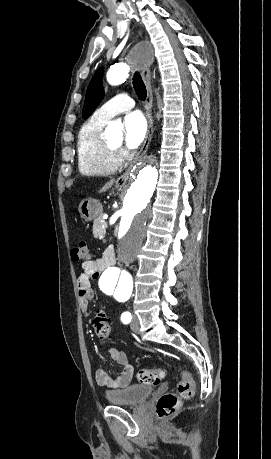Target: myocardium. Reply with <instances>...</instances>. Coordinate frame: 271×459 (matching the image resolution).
Segmentation results:
<instances>
[{"label":"myocardium","mask_w":271,"mask_h":459,"mask_svg":"<svg viewBox=\"0 0 271 459\" xmlns=\"http://www.w3.org/2000/svg\"><path fill=\"white\" fill-rule=\"evenodd\" d=\"M104 144H105L106 148L114 155H117L119 153V151L122 149V145L115 146V145L111 144L109 141H107L106 139H104Z\"/></svg>","instance_id":"1"}]
</instances>
